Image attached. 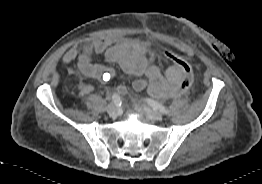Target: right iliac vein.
I'll list each match as a JSON object with an SVG mask.
<instances>
[{"label": "right iliac vein", "instance_id": "right-iliac-vein-1", "mask_svg": "<svg viewBox=\"0 0 262 184\" xmlns=\"http://www.w3.org/2000/svg\"><path fill=\"white\" fill-rule=\"evenodd\" d=\"M107 113L110 115V116H115L117 114V108L115 105L113 104H110L107 106Z\"/></svg>", "mask_w": 262, "mask_h": 184}]
</instances>
